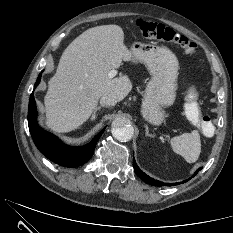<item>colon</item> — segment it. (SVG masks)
Segmentation results:
<instances>
[{"label":"colon","instance_id":"colon-1","mask_svg":"<svg viewBox=\"0 0 233 233\" xmlns=\"http://www.w3.org/2000/svg\"><path fill=\"white\" fill-rule=\"evenodd\" d=\"M136 26L140 33L146 38L176 44L189 55H196L197 53V45L194 42L189 40L186 36L176 33L173 29L163 24L138 19L136 21ZM197 112V92L196 88L192 86L188 90L186 113L191 117H196L197 124L204 135H213L215 131L213 120L209 116H197Z\"/></svg>","mask_w":233,"mask_h":233}]
</instances>
